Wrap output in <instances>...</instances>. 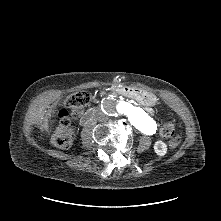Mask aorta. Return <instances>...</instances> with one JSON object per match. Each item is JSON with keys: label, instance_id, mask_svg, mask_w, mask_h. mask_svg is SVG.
<instances>
[{"label": "aorta", "instance_id": "obj_1", "mask_svg": "<svg viewBox=\"0 0 221 221\" xmlns=\"http://www.w3.org/2000/svg\"><path fill=\"white\" fill-rule=\"evenodd\" d=\"M117 109L141 132L145 134L155 132L156 125L154 121L139 107L128 102H120Z\"/></svg>", "mask_w": 221, "mask_h": 221}]
</instances>
